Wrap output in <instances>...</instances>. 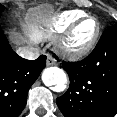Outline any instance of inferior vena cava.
I'll use <instances>...</instances> for the list:
<instances>
[{
    "label": "inferior vena cava",
    "instance_id": "602c4592",
    "mask_svg": "<svg viewBox=\"0 0 117 117\" xmlns=\"http://www.w3.org/2000/svg\"><path fill=\"white\" fill-rule=\"evenodd\" d=\"M17 54L22 58L34 60L39 57V49L34 47H20L17 50Z\"/></svg>",
    "mask_w": 117,
    "mask_h": 117
}]
</instances>
